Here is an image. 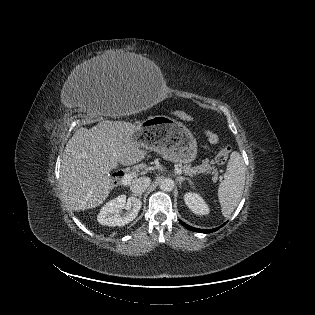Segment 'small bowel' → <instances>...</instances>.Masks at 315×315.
Wrapping results in <instances>:
<instances>
[{"mask_svg": "<svg viewBox=\"0 0 315 315\" xmlns=\"http://www.w3.org/2000/svg\"><path fill=\"white\" fill-rule=\"evenodd\" d=\"M207 136H208L209 141H210L211 143H213V144L218 141L217 136H216L214 133H212V132H208V133H207Z\"/></svg>", "mask_w": 315, "mask_h": 315, "instance_id": "small-bowel-1", "label": "small bowel"}]
</instances>
